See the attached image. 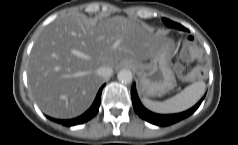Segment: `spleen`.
<instances>
[{
	"mask_svg": "<svg viewBox=\"0 0 238 145\" xmlns=\"http://www.w3.org/2000/svg\"><path fill=\"white\" fill-rule=\"evenodd\" d=\"M205 88V82L199 80L187 86L180 93L166 101H152L144 97L142 98V102L146 108L156 113H178L196 104L203 96Z\"/></svg>",
	"mask_w": 238,
	"mask_h": 145,
	"instance_id": "obj_1",
	"label": "spleen"
}]
</instances>
